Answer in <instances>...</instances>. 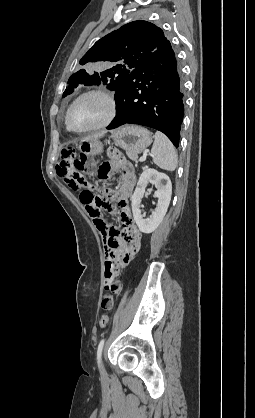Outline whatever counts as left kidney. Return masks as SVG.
<instances>
[{"mask_svg": "<svg viewBox=\"0 0 255 418\" xmlns=\"http://www.w3.org/2000/svg\"><path fill=\"white\" fill-rule=\"evenodd\" d=\"M148 183L155 185L157 189L155 196L158 198V203L150 217L144 219L141 215L140 206ZM171 194L172 184L166 174L151 168H145L143 170L131 198L133 217L141 232L145 234L152 233L160 225L167 212Z\"/></svg>", "mask_w": 255, "mask_h": 418, "instance_id": "obj_1", "label": "left kidney"}]
</instances>
